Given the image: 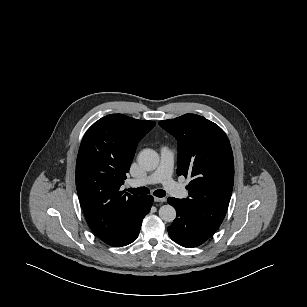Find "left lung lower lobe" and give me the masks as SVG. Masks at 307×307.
<instances>
[{
	"label": "left lung lower lobe",
	"instance_id": "left-lung-lower-lobe-1",
	"mask_svg": "<svg viewBox=\"0 0 307 307\" xmlns=\"http://www.w3.org/2000/svg\"><path fill=\"white\" fill-rule=\"evenodd\" d=\"M167 202L177 212V217L168 227V233L173 241L183 247H196L213 235V230L197 221L184 208L179 199L169 197Z\"/></svg>",
	"mask_w": 307,
	"mask_h": 307
}]
</instances>
